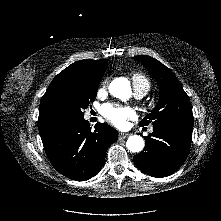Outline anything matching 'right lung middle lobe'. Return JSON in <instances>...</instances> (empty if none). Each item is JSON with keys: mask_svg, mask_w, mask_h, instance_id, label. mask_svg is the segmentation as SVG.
Masks as SVG:
<instances>
[{"mask_svg": "<svg viewBox=\"0 0 221 221\" xmlns=\"http://www.w3.org/2000/svg\"><path fill=\"white\" fill-rule=\"evenodd\" d=\"M99 82L76 74L62 75L53 86L51 99L69 119L83 118V110L96 98Z\"/></svg>", "mask_w": 221, "mask_h": 221, "instance_id": "right-lung-middle-lobe-1", "label": "right lung middle lobe"}]
</instances>
